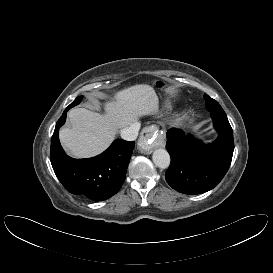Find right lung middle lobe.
I'll list each match as a JSON object with an SVG mask.
<instances>
[{
	"instance_id": "obj_1",
	"label": "right lung middle lobe",
	"mask_w": 273,
	"mask_h": 273,
	"mask_svg": "<svg viewBox=\"0 0 273 273\" xmlns=\"http://www.w3.org/2000/svg\"><path fill=\"white\" fill-rule=\"evenodd\" d=\"M82 100V96L77 97L67 108H72L76 105H78Z\"/></svg>"
}]
</instances>
